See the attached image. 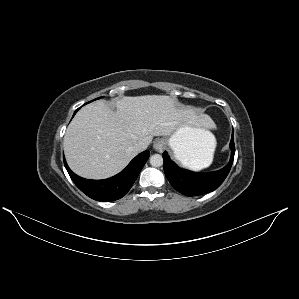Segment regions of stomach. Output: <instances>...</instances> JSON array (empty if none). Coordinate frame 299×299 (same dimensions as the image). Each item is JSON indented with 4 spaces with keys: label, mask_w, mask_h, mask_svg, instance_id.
<instances>
[{
    "label": "stomach",
    "mask_w": 299,
    "mask_h": 299,
    "mask_svg": "<svg viewBox=\"0 0 299 299\" xmlns=\"http://www.w3.org/2000/svg\"><path fill=\"white\" fill-rule=\"evenodd\" d=\"M176 157L187 163H203L213 158L215 137L208 130L195 127L183 120L167 140ZM185 164V163H184Z\"/></svg>",
    "instance_id": "obj_1"
}]
</instances>
